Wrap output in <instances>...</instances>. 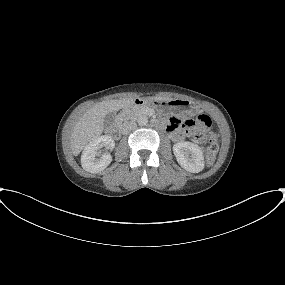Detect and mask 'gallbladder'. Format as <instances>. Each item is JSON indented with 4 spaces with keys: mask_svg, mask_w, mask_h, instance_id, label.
I'll list each match as a JSON object with an SVG mask.
<instances>
[{
    "mask_svg": "<svg viewBox=\"0 0 285 285\" xmlns=\"http://www.w3.org/2000/svg\"><path fill=\"white\" fill-rule=\"evenodd\" d=\"M116 118V114L114 112H110L108 113L105 117H104V125L105 126H110L114 123Z\"/></svg>",
    "mask_w": 285,
    "mask_h": 285,
    "instance_id": "obj_1",
    "label": "gallbladder"
}]
</instances>
